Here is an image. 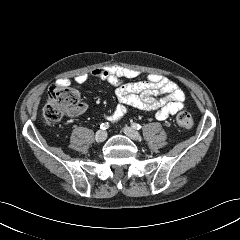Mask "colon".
Here are the masks:
<instances>
[{
    "label": "colon",
    "instance_id": "colon-1",
    "mask_svg": "<svg viewBox=\"0 0 240 240\" xmlns=\"http://www.w3.org/2000/svg\"><path fill=\"white\" fill-rule=\"evenodd\" d=\"M81 108L80 93L77 89L55 83L50 86L43 109V119L48 124L59 122L63 116L77 112ZM177 124L185 129L193 126L191 114L185 110L176 115Z\"/></svg>",
    "mask_w": 240,
    "mask_h": 240
}]
</instances>
